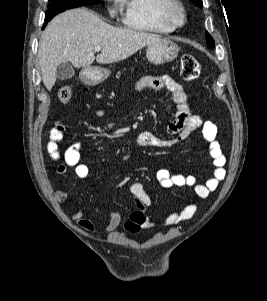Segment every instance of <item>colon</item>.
<instances>
[{"instance_id": "1", "label": "colon", "mask_w": 267, "mask_h": 301, "mask_svg": "<svg viewBox=\"0 0 267 301\" xmlns=\"http://www.w3.org/2000/svg\"><path fill=\"white\" fill-rule=\"evenodd\" d=\"M180 74L186 81H193L200 74V65L191 55H184L180 62ZM58 99L62 103H68L72 99V88L69 85H63L58 91Z\"/></svg>"}]
</instances>
